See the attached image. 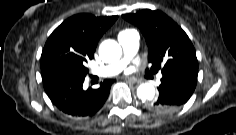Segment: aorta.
Wrapping results in <instances>:
<instances>
[{
	"instance_id": "aorta-1",
	"label": "aorta",
	"mask_w": 236,
	"mask_h": 135,
	"mask_svg": "<svg viewBox=\"0 0 236 135\" xmlns=\"http://www.w3.org/2000/svg\"><path fill=\"white\" fill-rule=\"evenodd\" d=\"M122 55L121 46L115 40H105L99 46V56L106 63L116 62ZM137 96L142 101L153 100L155 88L152 84L144 83L137 88Z\"/></svg>"
}]
</instances>
